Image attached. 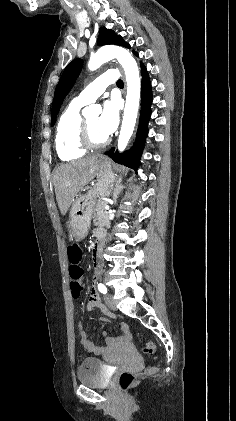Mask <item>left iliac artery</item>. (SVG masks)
I'll return each mask as SVG.
<instances>
[{
  "label": "left iliac artery",
  "instance_id": "left-iliac-artery-1",
  "mask_svg": "<svg viewBox=\"0 0 236 421\" xmlns=\"http://www.w3.org/2000/svg\"><path fill=\"white\" fill-rule=\"evenodd\" d=\"M98 290H99L101 293H103V294H106V293H107V288H106V286H105L104 284H102V283H99V284H98Z\"/></svg>",
  "mask_w": 236,
  "mask_h": 421
}]
</instances>
